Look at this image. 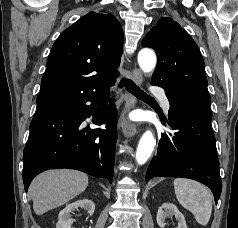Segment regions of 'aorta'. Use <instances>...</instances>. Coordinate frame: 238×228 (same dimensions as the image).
Listing matches in <instances>:
<instances>
[{"label":"aorta","mask_w":238,"mask_h":228,"mask_svg":"<svg viewBox=\"0 0 238 228\" xmlns=\"http://www.w3.org/2000/svg\"><path fill=\"white\" fill-rule=\"evenodd\" d=\"M156 62V54L152 49L144 48L138 53V64L144 73L152 72ZM155 144L156 140L153 133L150 130L145 131L139 140L136 151V162L139 165L147 162L154 150Z\"/></svg>","instance_id":"1"}]
</instances>
